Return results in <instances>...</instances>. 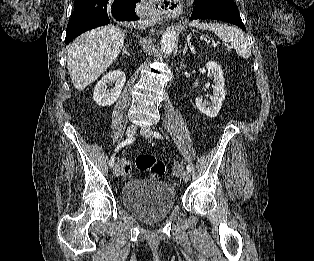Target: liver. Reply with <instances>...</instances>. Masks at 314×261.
Wrapping results in <instances>:
<instances>
[{"mask_svg": "<svg viewBox=\"0 0 314 261\" xmlns=\"http://www.w3.org/2000/svg\"><path fill=\"white\" fill-rule=\"evenodd\" d=\"M125 35L113 25L93 29L76 38L68 49V71L77 90L102 75L119 55Z\"/></svg>", "mask_w": 314, "mask_h": 261, "instance_id": "1", "label": "liver"}]
</instances>
